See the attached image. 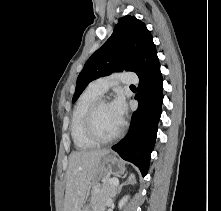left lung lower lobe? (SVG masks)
Returning a JSON list of instances; mask_svg holds the SVG:
<instances>
[{
    "instance_id": "left-lung-lower-lobe-1",
    "label": "left lung lower lobe",
    "mask_w": 221,
    "mask_h": 211,
    "mask_svg": "<svg viewBox=\"0 0 221 211\" xmlns=\"http://www.w3.org/2000/svg\"><path fill=\"white\" fill-rule=\"evenodd\" d=\"M138 76L140 83L135 99L140 102L139 109L132 115L128 134L112 149L124 160L139 167L145 176L155 144L163 102V79L157 53L150 58Z\"/></svg>"
}]
</instances>
